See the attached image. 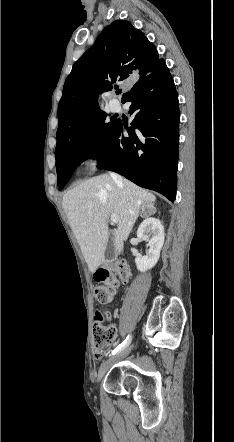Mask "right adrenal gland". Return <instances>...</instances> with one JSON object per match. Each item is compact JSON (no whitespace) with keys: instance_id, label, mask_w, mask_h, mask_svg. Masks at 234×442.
<instances>
[{"instance_id":"1","label":"right adrenal gland","mask_w":234,"mask_h":442,"mask_svg":"<svg viewBox=\"0 0 234 442\" xmlns=\"http://www.w3.org/2000/svg\"><path fill=\"white\" fill-rule=\"evenodd\" d=\"M145 209H146V205H143V206H142V213H141V217H143V216H144L143 214H144V211H145ZM154 211H155V209H154Z\"/></svg>"}]
</instances>
